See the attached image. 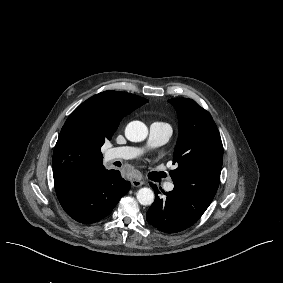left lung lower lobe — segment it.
I'll use <instances>...</instances> for the list:
<instances>
[{
  "mask_svg": "<svg viewBox=\"0 0 283 283\" xmlns=\"http://www.w3.org/2000/svg\"><path fill=\"white\" fill-rule=\"evenodd\" d=\"M155 192V201L147 211L146 219L153 227L164 233H176L192 226L210 204L177 186L167 192L163 199L156 185L150 183Z\"/></svg>",
  "mask_w": 283,
  "mask_h": 283,
  "instance_id": "0a47b994",
  "label": "left lung lower lobe"
}]
</instances>
